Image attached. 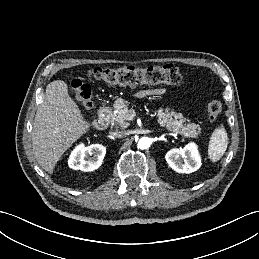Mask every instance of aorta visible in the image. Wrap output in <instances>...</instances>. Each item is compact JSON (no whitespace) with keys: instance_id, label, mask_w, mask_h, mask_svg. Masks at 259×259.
<instances>
[{"instance_id":"1","label":"aorta","mask_w":259,"mask_h":259,"mask_svg":"<svg viewBox=\"0 0 259 259\" xmlns=\"http://www.w3.org/2000/svg\"><path fill=\"white\" fill-rule=\"evenodd\" d=\"M150 144H151L150 138H148V137H142V138H140V139L138 140V142H137V147H138L139 149H147V148H149Z\"/></svg>"}]
</instances>
